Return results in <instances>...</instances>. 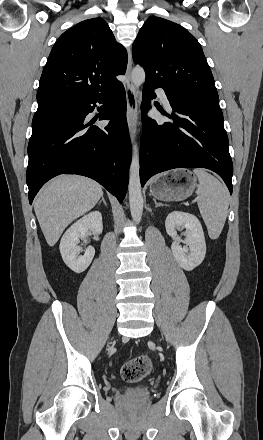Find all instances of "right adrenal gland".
Segmentation results:
<instances>
[{
	"label": "right adrenal gland",
	"instance_id": "right-adrenal-gland-1",
	"mask_svg": "<svg viewBox=\"0 0 263 440\" xmlns=\"http://www.w3.org/2000/svg\"><path fill=\"white\" fill-rule=\"evenodd\" d=\"M101 202H103L105 205H107V203H106V201H105V199H104L103 196L101 197V200L99 201V204H100Z\"/></svg>",
	"mask_w": 263,
	"mask_h": 440
}]
</instances>
